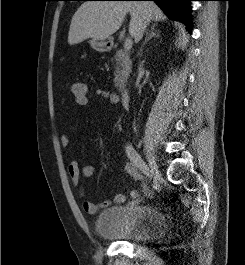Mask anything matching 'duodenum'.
<instances>
[{
	"label": "duodenum",
	"instance_id": "410a0bca",
	"mask_svg": "<svg viewBox=\"0 0 245 265\" xmlns=\"http://www.w3.org/2000/svg\"><path fill=\"white\" fill-rule=\"evenodd\" d=\"M121 96H122V102L125 107H130L131 103V94L128 90L123 89L121 91Z\"/></svg>",
	"mask_w": 245,
	"mask_h": 265
}]
</instances>
